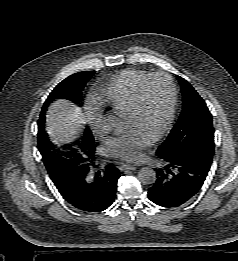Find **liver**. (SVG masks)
<instances>
[{"label": "liver", "mask_w": 238, "mask_h": 261, "mask_svg": "<svg viewBox=\"0 0 238 261\" xmlns=\"http://www.w3.org/2000/svg\"><path fill=\"white\" fill-rule=\"evenodd\" d=\"M85 119L73 103L58 100L50 106L46 115L47 132L57 144L70 142L79 135Z\"/></svg>", "instance_id": "6515ba94"}]
</instances>
